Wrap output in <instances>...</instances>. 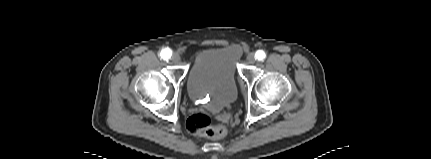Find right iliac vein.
Masks as SVG:
<instances>
[{
  "mask_svg": "<svg viewBox=\"0 0 431 159\" xmlns=\"http://www.w3.org/2000/svg\"><path fill=\"white\" fill-rule=\"evenodd\" d=\"M171 60H172L174 63H179V62L181 61V57H180V55H179L178 53H174V54L172 55V57H171Z\"/></svg>",
  "mask_w": 431,
  "mask_h": 159,
  "instance_id": "1",
  "label": "right iliac vein"
}]
</instances>
